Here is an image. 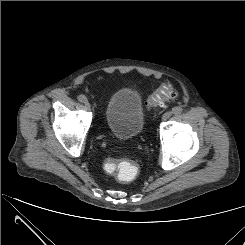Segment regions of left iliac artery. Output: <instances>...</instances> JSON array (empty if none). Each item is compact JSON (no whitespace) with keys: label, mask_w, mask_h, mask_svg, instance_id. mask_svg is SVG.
Listing matches in <instances>:
<instances>
[{"label":"left iliac artery","mask_w":245,"mask_h":245,"mask_svg":"<svg viewBox=\"0 0 245 245\" xmlns=\"http://www.w3.org/2000/svg\"><path fill=\"white\" fill-rule=\"evenodd\" d=\"M182 107L181 106H176L172 109L173 114H180L182 112Z\"/></svg>","instance_id":"1"}]
</instances>
